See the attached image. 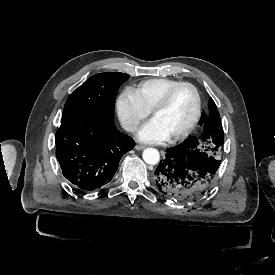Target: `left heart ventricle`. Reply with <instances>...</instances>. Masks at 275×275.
Instances as JSON below:
<instances>
[{
    "instance_id": "obj_1",
    "label": "left heart ventricle",
    "mask_w": 275,
    "mask_h": 275,
    "mask_svg": "<svg viewBox=\"0 0 275 275\" xmlns=\"http://www.w3.org/2000/svg\"><path fill=\"white\" fill-rule=\"evenodd\" d=\"M196 97L189 86H181L172 94L168 105L153 118L168 136L184 129L192 120Z\"/></svg>"
}]
</instances>
